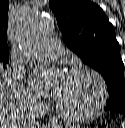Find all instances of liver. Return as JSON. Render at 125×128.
Here are the masks:
<instances>
[{
    "label": "liver",
    "instance_id": "6515ba94",
    "mask_svg": "<svg viewBox=\"0 0 125 128\" xmlns=\"http://www.w3.org/2000/svg\"><path fill=\"white\" fill-rule=\"evenodd\" d=\"M23 117L16 111L13 103L12 84L0 65V128H20Z\"/></svg>",
    "mask_w": 125,
    "mask_h": 128
}]
</instances>
